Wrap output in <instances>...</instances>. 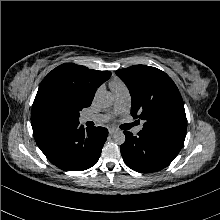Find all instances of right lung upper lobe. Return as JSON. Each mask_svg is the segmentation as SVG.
<instances>
[{
  "instance_id": "cb5924a9",
  "label": "right lung upper lobe",
  "mask_w": 220,
  "mask_h": 220,
  "mask_svg": "<svg viewBox=\"0 0 220 220\" xmlns=\"http://www.w3.org/2000/svg\"><path fill=\"white\" fill-rule=\"evenodd\" d=\"M111 72L91 70L73 63L62 64L42 81L32 106L33 132L55 126L79 124L73 105L89 107L96 89L109 79Z\"/></svg>"
}]
</instances>
